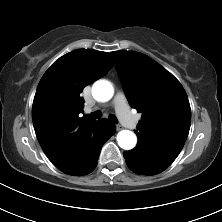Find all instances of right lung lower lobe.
I'll return each instance as SVG.
<instances>
[{"instance_id": "obj_1", "label": "right lung lower lobe", "mask_w": 222, "mask_h": 222, "mask_svg": "<svg viewBox=\"0 0 222 222\" xmlns=\"http://www.w3.org/2000/svg\"><path fill=\"white\" fill-rule=\"evenodd\" d=\"M115 133V126L106 119L96 121L90 130L86 142V152L81 162L74 168L63 172L69 175L81 176L89 174L97 165L103 144Z\"/></svg>"}]
</instances>
